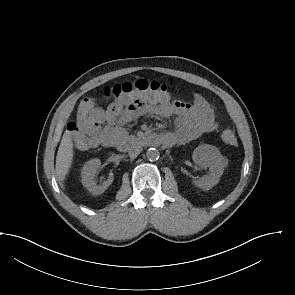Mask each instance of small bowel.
<instances>
[{
    "label": "small bowel",
    "mask_w": 295,
    "mask_h": 295,
    "mask_svg": "<svg viewBox=\"0 0 295 295\" xmlns=\"http://www.w3.org/2000/svg\"><path fill=\"white\" fill-rule=\"evenodd\" d=\"M143 115L175 118V129L165 133L167 145L185 144L218 127L213 106L199 93L192 102L174 99L166 91L134 92L116 98L107 109L95 108L83 126H67L75 146L88 150L98 145L113 146L126 136L124 125Z\"/></svg>",
    "instance_id": "1"
}]
</instances>
